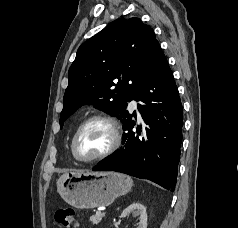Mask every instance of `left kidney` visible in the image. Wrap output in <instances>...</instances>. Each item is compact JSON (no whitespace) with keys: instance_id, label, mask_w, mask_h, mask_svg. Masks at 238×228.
I'll list each match as a JSON object with an SVG mask.
<instances>
[{"instance_id":"left-kidney-1","label":"left kidney","mask_w":238,"mask_h":228,"mask_svg":"<svg viewBox=\"0 0 238 228\" xmlns=\"http://www.w3.org/2000/svg\"><path fill=\"white\" fill-rule=\"evenodd\" d=\"M132 214L134 217L139 216V223L137 228H147V213L146 208L139 202H134L129 205L121 214L122 218H125Z\"/></svg>"}]
</instances>
